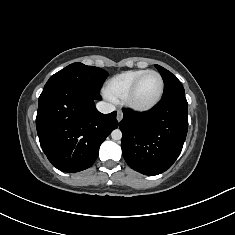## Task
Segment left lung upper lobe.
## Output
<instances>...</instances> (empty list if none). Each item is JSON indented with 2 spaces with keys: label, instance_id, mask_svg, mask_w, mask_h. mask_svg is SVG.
<instances>
[{
  "label": "left lung upper lobe",
  "instance_id": "1",
  "mask_svg": "<svg viewBox=\"0 0 235 235\" xmlns=\"http://www.w3.org/2000/svg\"><path fill=\"white\" fill-rule=\"evenodd\" d=\"M160 72L165 85V90L163 98L175 96V95H185V91L180 81L174 76L170 71L165 68L155 65Z\"/></svg>",
  "mask_w": 235,
  "mask_h": 235
}]
</instances>
